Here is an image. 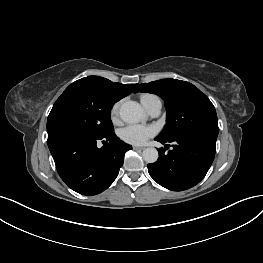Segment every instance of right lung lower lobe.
I'll return each mask as SVG.
<instances>
[{"mask_svg":"<svg viewBox=\"0 0 263 263\" xmlns=\"http://www.w3.org/2000/svg\"><path fill=\"white\" fill-rule=\"evenodd\" d=\"M100 141L104 145L98 148ZM47 142L61 179L82 195L106 190L118 176L125 153L132 149L114 133H64L48 138Z\"/></svg>","mask_w":263,"mask_h":263,"instance_id":"1","label":"right lung lower lobe"}]
</instances>
